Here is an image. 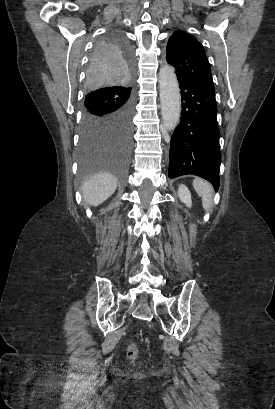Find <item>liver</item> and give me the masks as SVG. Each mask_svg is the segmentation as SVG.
<instances>
[{
	"label": "liver",
	"instance_id": "liver-1",
	"mask_svg": "<svg viewBox=\"0 0 275 409\" xmlns=\"http://www.w3.org/2000/svg\"><path fill=\"white\" fill-rule=\"evenodd\" d=\"M117 186V178L110 172H98L93 174L91 178L83 182L81 188L83 198L88 205L98 207L101 202H104L108 196L115 192Z\"/></svg>",
	"mask_w": 275,
	"mask_h": 409
}]
</instances>
